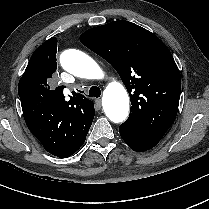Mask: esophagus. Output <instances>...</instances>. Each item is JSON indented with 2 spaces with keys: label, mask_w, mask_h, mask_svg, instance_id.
<instances>
[{
  "label": "esophagus",
  "mask_w": 209,
  "mask_h": 209,
  "mask_svg": "<svg viewBox=\"0 0 209 209\" xmlns=\"http://www.w3.org/2000/svg\"><path fill=\"white\" fill-rule=\"evenodd\" d=\"M95 103H96V106H97L98 108H101V104H102V100H101V99H96V100H95Z\"/></svg>",
  "instance_id": "1"
}]
</instances>
